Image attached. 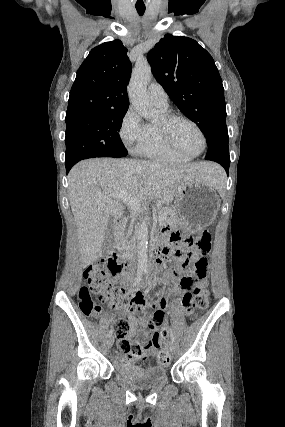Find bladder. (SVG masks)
Wrapping results in <instances>:
<instances>
[{
    "mask_svg": "<svg viewBox=\"0 0 285 427\" xmlns=\"http://www.w3.org/2000/svg\"><path fill=\"white\" fill-rule=\"evenodd\" d=\"M115 373L126 382L138 388L153 387L166 378V369L162 366H141L129 364L122 368H115Z\"/></svg>",
    "mask_w": 285,
    "mask_h": 427,
    "instance_id": "1",
    "label": "bladder"
}]
</instances>
